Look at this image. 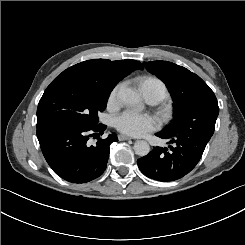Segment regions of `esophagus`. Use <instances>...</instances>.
Returning <instances> with one entry per match:
<instances>
[{
    "mask_svg": "<svg viewBox=\"0 0 245 245\" xmlns=\"http://www.w3.org/2000/svg\"><path fill=\"white\" fill-rule=\"evenodd\" d=\"M118 139H119L120 141H124V140H130L131 137H129V136H127V135H124V134H119V135H118Z\"/></svg>",
    "mask_w": 245,
    "mask_h": 245,
    "instance_id": "obj_1",
    "label": "esophagus"
}]
</instances>
